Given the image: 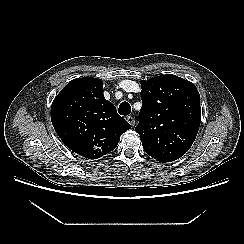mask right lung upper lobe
<instances>
[{"mask_svg": "<svg viewBox=\"0 0 244 244\" xmlns=\"http://www.w3.org/2000/svg\"><path fill=\"white\" fill-rule=\"evenodd\" d=\"M51 121L62 142L88 159L111 152L131 128L104 98L102 80L90 77L71 80L55 97Z\"/></svg>", "mask_w": 244, "mask_h": 244, "instance_id": "obj_1", "label": "right lung upper lobe"}]
</instances>
